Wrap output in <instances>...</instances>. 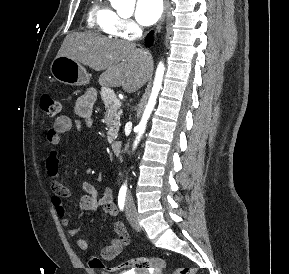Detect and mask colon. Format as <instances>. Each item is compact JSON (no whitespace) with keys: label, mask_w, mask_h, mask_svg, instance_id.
I'll return each mask as SVG.
<instances>
[{"label":"colon","mask_w":289,"mask_h":274,"mask_svg":"<svg viewBox=\"0 0 289 274\" xmlns=\"http://www.w3.org/2000/svg\"><path fill=\"white\" fill-rule=\"evenodd\" d=\"M40 108L50 117H55L59 114L61 110V104L58 100L54 99L50 95H43L40 98ZM89 266L94 269H99L104 271V274L107 272H115L118 270H127V271H158L166 266V262L159 258H147V257H138L134 259L127 260L120 263L119 265L107 267L104 265L102 260L95 256L91 255L88 259ZM195 268L191 266H181L178 267L172 274H195Z\"/></svg>","instance_id":"colon-1"}]
</instances>
